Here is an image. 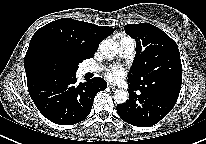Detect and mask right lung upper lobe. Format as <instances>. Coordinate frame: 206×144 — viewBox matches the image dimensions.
<instances>
[{"label":"right lung upper lobe","mask_w":206,"mask_h":144,"mask_svg":"<svg viewBox=\"0 0 206 144\" xmlns=\"http://www.w3.org/2000/svg\"><path fill=\"white\" fill-rule=\"evenodd\" d=\"M113 32L114 29L111 27L97 26L71 18L48 23L38 29L31 38L24 64L27 78L33 76L27 63L36 51L52 49L88 59L94 56L99 43Z\"/></svg>","instance_id":"1"}]
</instances>
